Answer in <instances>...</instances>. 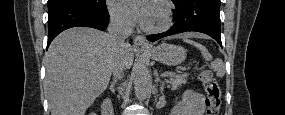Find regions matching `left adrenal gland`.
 I'll return each instance as SVG.
<instances>
[{
  "instance_id": "1",
  "label": "left adrenal gland",
  "mask_w": 285,
  "mask_h": 115,
  "mask_svg": "<svg viewBox=\"0 0 285 115\" xmlns=\"http://www.w3.org/2000/svg\"><path fill=\"white\" fill-rule=\"evenodd\" d=\"M155 82L156 83H160L161 86H160V93L163 94V90H164V82L159 78L158 76V72H156V75H155Z\"/></svg>"
}]
</instances>
